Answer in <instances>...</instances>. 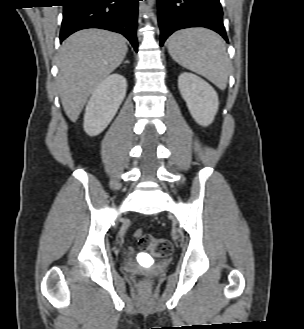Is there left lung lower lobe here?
<instances>
[{
    "label": "left lung lower lobe",
    "instance_id": "obj_1",
    "mask_svg": "<svg viewBox=\"0 0 304 329\" xmlns=\"http://www.w3.org/2000/svg\"><path fill=\"white\" fill-rule=\"evenodd\" d=\"M158 22L161 46L174 31L189 27L212 29L228 42L219 0H158Z\"/></svg>",
    "mask_w": 304,
    "mask_h": 329
}]
</instances>
